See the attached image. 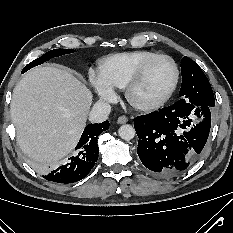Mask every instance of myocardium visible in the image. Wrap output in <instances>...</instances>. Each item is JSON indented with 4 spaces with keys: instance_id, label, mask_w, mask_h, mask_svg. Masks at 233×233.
I'll use <instances>...</instances> for the list:
<instances>
[{
    "instance_id": "myocardium-1",
    "label": "myocardium",
    "mask_w": 233,
    "mask_h": 233,
    "mask_svg": "<svg viewBox=\"0 0 233 233\" xmlns=\"http://www.w3.org/2000/svg\"><path fill=\"white\" fill-rule=\"evenodd\" d=\"M161 58H166V59L170 60V62L172 63L173 70H174V76H173V79H172L170 85L168 86V88L165 90V92L159 98H157L153 101H150V102H146V103L137 102L133 98V91H134L135 87L137 86L139 81L142 79L148 66L151 63H153L154 61L161 59ZM179 76H180V73H179L177 63L175 62V60L171 56H169L167 54H156V55L148 58L147 60L143 61L131 74L130 78L128 79V81L124 87L125 97H126L127 101L130 103V105L138 110L150 111V110L157 109V108L161 107L164 103H166V101L171 97V95L175 91L176 86L178 84Z\"/></svg>"
}]
</instances>
